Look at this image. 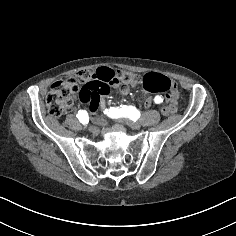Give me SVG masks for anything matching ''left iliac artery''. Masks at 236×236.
I'll return each mask as SVG.
<instances>
[{
    "label": "left iliac artery",
    "instance_id": "left-iliac-artery-1",
    "mask_svg": "<svg viewBox=\"0 0 236 236\" xmlns=\"http://www.w3.org/2000/svg\"><path fill=\"white\" fill-rule=\"evenodd\" d=\"M155 103L159 104L163 102L161 96H156L154 99ZM121 108L110 107V109H105L104 114H107L112 119H117L121 117H127L128 114L133 110V106L121 105Z\"/></svg>",
    "mask_w": 236,
    "mask_h": 236
}]
</instances>
